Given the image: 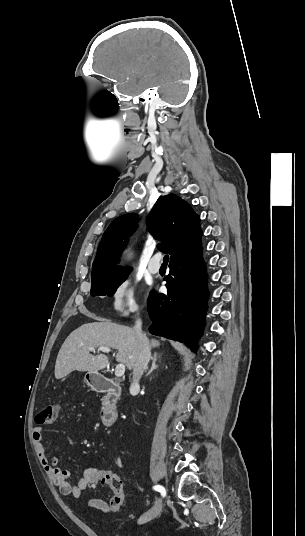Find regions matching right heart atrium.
<instances>
[{
  "mask_svg": "<svg viewBox=\"0 0 305 536\" xmlns=\"http://www.w3.org/2000/svg\"><path fill=\"white\" fill-rule=\"evenodd\" d=\"M110 299L111 308L121 316H128L139 311L138 286L130 278L120 281L115 286Z\"/></svg>",
  "mask_w": 305,
  "mask_h": 536,
  "instance_id": "obj_1",
  "label": "right heart atrium"
}]
</instances>
